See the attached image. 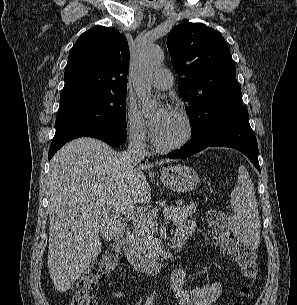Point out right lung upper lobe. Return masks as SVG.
Listing matches in <instances>:
<instances>
[{
    "label": "right lung upper lobe",
    "mask_w": 297,
    "mask_h": 305,
    "mask_svg": "<svg viewBox=\"0 0 297 305\" xmlns=\"http://www.w3.org/2000/svg\"><path fill=\"white\" fill-rule=\"evenodd\" d=\"M129 47L114 28L94 27L72 47L60 99L127 90Z\"/></svg>",
    "instance_id": "right-lung-upper-lobe-1"
}]
</instances>
